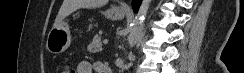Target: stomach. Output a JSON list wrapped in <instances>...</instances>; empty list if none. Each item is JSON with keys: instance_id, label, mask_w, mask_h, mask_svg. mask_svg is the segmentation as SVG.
I'll return each mask as SVG.
<instances>
[{"instance_id": "0dacf381", "label": "stomach", "mask_w": 244, "mask_h": 73, "mask_svg": "<svg viewBox=\"0 0 244 73\" xmlns=\"http://www.w3.org/2000/svg\"><path fill=\"white\" fill-rule=\"evenodd\" d=\"M104 15L111 20H120L124 17L125 12L117 7H112L104 12ZM71 44V35L69 26L62 21L59 25L52 27L50 30L46 47L52 54H60L68 49Z\"/></svg>"}]
</instances>
